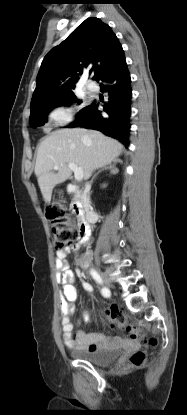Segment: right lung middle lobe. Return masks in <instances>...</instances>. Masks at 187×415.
Masks as SVG:
<instances>
[{"label": "right lung middle lobe", "instance_id": "dd1d6c3e", "mask_svg": "<svg viewBox=\"0 0 187 415\" xmlns=\"http://www.w3.org/2000/svg\"><path fill=\"white\" fill-rule=\"evenodd\" d=\"M70 101L77 102L78 104L81 103V101L76 98L75 94L71 92L65 95L59 102L43 105L41 107L31 110V114L29 117L30 125L33 128L44 125L46 123L47 114L53 108L61 106V105H69Z\"/></svg>", "mask_w": 187, "mask_h": 415}]
</instances>
